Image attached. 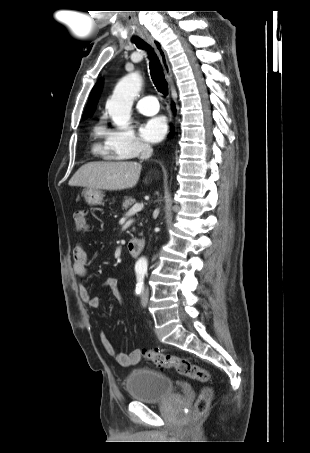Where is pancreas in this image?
<instances>
[{
	"instance_id": "obj_1",
	"label": "pancreas",
	"mask_w": 310,
	"mask_h": 453,
	"mask_svg": "<svg viewBox=\"0 0 310 453\" xmlns=\"http://www.w3.org/2000/svg\"><path fill=\"white\" fill-rule=\"evenodd\" d=\"M135 199L132 197H126L125 200L122 203V209L127 210L129 207H131L135 203Z\"/></svg>"
}]
</instances>
